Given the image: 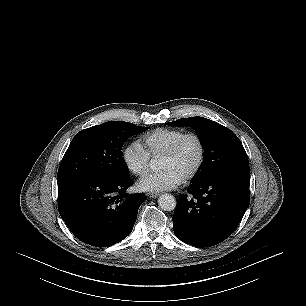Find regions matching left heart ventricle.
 <instances>
[{
  "mask_svg": "<svg viewBox=\"0 0 306 306\" xmlns=\"http://www.w3.org/2000/svg\"><path fill=\"white\" fill-rule=\"evenodd\" d=\"M199 158V146L195 139H187L172 158H161L160 168L171 169L183 179L194 169Z\"/></svg>",
  "mask_w": 306,
  "mask_h": 306,
  "instance_id": "left-heart-ventricle-1",
  "label": "left heart ventricle"
}]
</instances>
